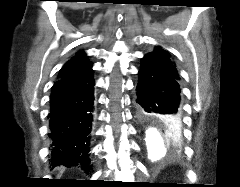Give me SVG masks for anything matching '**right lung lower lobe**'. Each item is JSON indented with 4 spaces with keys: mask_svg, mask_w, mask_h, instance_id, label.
<instances>
[{
    "mask_svg": "<svg viewBox=\"0 0 240 187\" xmlns=\"http://www.w3.org/2000/svg\"><path fill=\"white\" fill-rule=\"evenodd\" d=\"M92 64L56 80L50 96L51 165L77 166L89 172L93 120Z\"/></svg>",
    "mask_w": 240,
    "mask_h": 187,
    "instance_id": "obj_1",
    "label": "right lung lower lobe"
}]
</instances>
